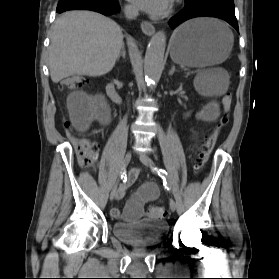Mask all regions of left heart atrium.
I'll return each mask as SVG.
<instances>
[{
  "mask_svg": "<svg viewBox=\"0 0 279 279\" xmlns=\"http://www.w3.org/2000/svg\"><path fill=\"white\" fill-rule=\"evenodd\" d=\"M138 8L151 14H163L169 10L173 0H130Z\"/></svg>",
  "mask_w": 279,
  "mask_h": 279,
  "instance_id": "left-heart-atrium-1",
  "label": "left heart atrium"
}]
</instances>
